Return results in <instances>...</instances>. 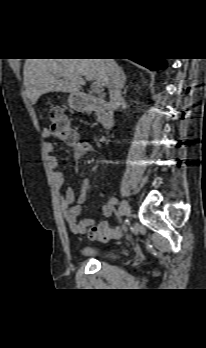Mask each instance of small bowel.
<instances>
[{"label": "small bowel", "instance_id": "small-bowel-1", "mask_svg": "<svg viewBox=\"0 0 206 348\" xmlns=\"http://www.w3.org/2000/svg\"><path fill=\"white\" fill-rule=\"evenodd\" d=\"M44 137L49 136V130L44 129L42 132ZM45 152L47 154V160L50 168L52 169V177L54 184L57 188H63L65 184L64 174L57 170L58 160L54 156V145L50 142L44 145ZM93 151V146L86 141H76L73 144V158L78 165L86 153ZM92 194V183L90 179L85 178L82 180L81 194L77 196L72 188H67L62 195L61 209L64 218L67 222L69 229L74 234H86L88 229L95 225V220L93 218H83L78 220V216L82 212V203L86 201ZM102 213L105 217H110L112 214V204L104 203L102 205Z\"/></svg>", "mask_w": 206, "mask_h": 348}]
</instances>
